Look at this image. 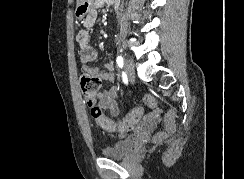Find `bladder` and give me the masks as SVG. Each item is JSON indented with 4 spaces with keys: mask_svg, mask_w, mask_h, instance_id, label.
<instances>
[{
    "mask_svg": "<svg viewBox=\"0 0 244 179\" xmlns=\"http://www.w3.org/2000/svg\"><path fill=\"white\" fill-rule=\"evenodd\" d=\"M134 149V138H125L110 147L103 148L102 153L106 158L119 159L129 155Z\"/></svg>",
    "mask_w": 244,
    "mask_h": 179,
    "instance_id": "obj_1",
    "label": "bladder"
}]
</instances>
